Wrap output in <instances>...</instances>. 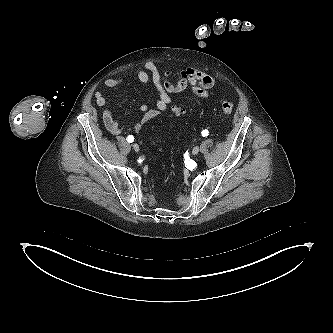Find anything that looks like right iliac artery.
<instances>
[{"instance_id": "right-iliac-artery-1", "label": "right iliac artery", "mask_w": 333, "mask_h": 333, "mask_svg": "<svg viewBox=\"0 0 333 333\" xmlns=\"http://www.w3.org/2000/svg\"><path fill=\"white\" fill-rule=\"evenodd\" d=\"M127 141H128L129 143H132V142L134 141V137H133L132 135H129V136L127 137Z\"/></svg>"}]
</instances>
